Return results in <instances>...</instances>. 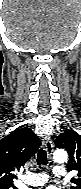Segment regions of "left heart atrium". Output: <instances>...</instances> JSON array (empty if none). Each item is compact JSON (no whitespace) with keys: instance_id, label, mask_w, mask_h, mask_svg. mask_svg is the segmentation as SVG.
<instances>
[{"instance_id":"39dd6f15","label":"left heart atrium","mask_w":81,"mask_h":189,"mask_svg":"<svg viewBox=\"0 0 81 189\" xmlns=\"http://www.w3.org/2000/svg\"><path fill=\"white\" fill-rule=\"evenodd\" d=\"M45 189H59V188H57V187H55V186H48V187H46Z\"/></svg>"}]
</instances>
